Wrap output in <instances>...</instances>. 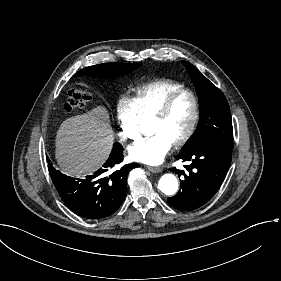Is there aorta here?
<instances>
[{
	"instance_id": "aorta-1",
	"label": "aorta",
	"mask_w": 281,
	"mask_h": 281,
	"mask_svg": "<svg viewBox=\"0 0 281 281\" xmlns=\"http://www.w3.org/2000/svg\"><path fill=\"white\" fill-rule=\"evenodd\" d=\"M158 187L164 194L173 195L178 190L177 178L170 173L164 174L159 180Z\"/></svg>"
}]
</instances>
